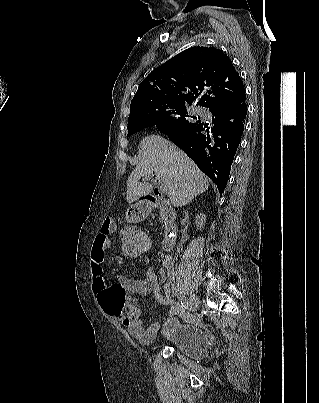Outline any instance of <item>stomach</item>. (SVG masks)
I'll use <instances>...</instances> for the list:
<instances>
[{"instance_id": "0dacf381", "label": "stomach", "mask_w": 319, "mask_h": 403, "mask_svg": "<svg viewBox=\"0 0 319 403\" xmlns=\"http://www.w3.org/2000/svg\"><path fill=\"white\" fill-rule=\"evenodd\" d=\"M135 207H131L127 210L126 215L123 218L125 224H137L139 221L138 216L135 212Z\"/></svg>"}]
</instances>
